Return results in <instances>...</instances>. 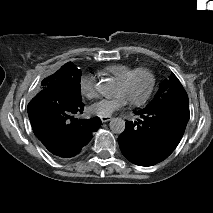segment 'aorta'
Instances as JSON below:
<instances>
[{
    "mask_svg": "<svg viewBox=\"0 0 213 213\" xmlns=\"http://www.w3.org/2000/svg\"><path fill=\"white\" fill-rule=\"evenodd\" d=\"M99 90L105 98H112L114 96L113 78L102 80L99 84ZM109 127L113 133L120 134L125 130V121L121 117L111 118Z\"/></svg>",
    "mask_w": 213,
    "mask_h": 213,
    "instance_id": "obj_1",
    "label": "aorta"
}]
</instances>
